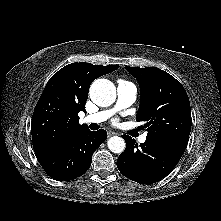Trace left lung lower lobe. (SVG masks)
Returning <instances> with one entry per match:
<instances>
[{
	"instance_id": "1",
	"label": "left lung lower lobe",
	"mask_w": 221,
	"mask_h": 221,
	"mask_svg": "<svg viewBox=\"0 0 221 221\" xmlns=\"http://www.w3.org/2000/svg\"><path fill=\"white\" fill-rule=\"evenodd\" d=\"M126 149L117 159L119 171L127 178L141 184L155 183L168 175L182 154L146 139L140 146L130 136H122Z\"/></svg>"
}]
</instances>
